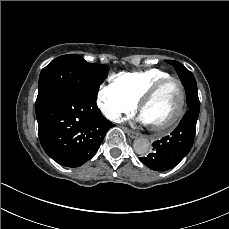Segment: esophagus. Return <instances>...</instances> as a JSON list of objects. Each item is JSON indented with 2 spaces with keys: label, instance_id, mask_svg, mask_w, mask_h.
Listing matches in <instances>:
<instances>
[{
  "label": "esophagus",
  "instance_id": "1",
  "mask_svg": "<svg viewBox=\"0 0 229 229\" xmlns=\"http://www.w3.org/2000/svg\"><path fill=\"white\" fill-rule=\"evenodd\" d=\"M123 130L125 131V133H127V135L130 138H136L138 136V134L134 131H132L131 129L127 128V127H123Z\"/></svg>",
  "mask_w": 229,
  "mask_h": 229
}]
</instances>
